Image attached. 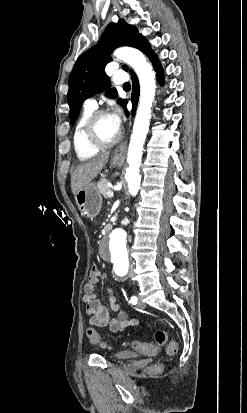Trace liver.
Instances as JSON below:
<instances>
[{
	"label": "liver",
	"mask_w": 247,
	"mask_h": 413,
	"mask_svg": "<svg viewBox=\"0 0 247 413\" xmlns=\"http://www.w3.org/2000/svg\"><path fill=\"white\" fill-rule=\"evenodd\" d=\"M109 154L110 152H104V154H100V156L91 158L88 162L78 164L77 168H75L74 172L71 174V188L73 194H76L80 188L89 184V182L97 176L98 172L105 166Z\"/></svg>",
	"instance_id": "1"
}]
</instances>
